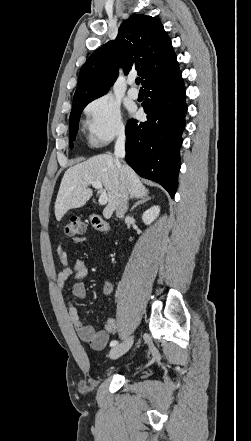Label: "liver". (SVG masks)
<instances>
[{"mask_svg":"<svg viewBox=\"0 0 251 441\" xmlns=\"http://www.w3.org/2000/svg\"><path fill=\"white\" fill-rule=\"evenodd\" d=\"M122 167L131 198L147 196L148 189L142 184L135 171L128 165H122ZM94 181H100L108 192V204L103 210V216L106 219L112 216L120 199V168L111 155L100 154L70 167L65 172L55 202L57 221H60L68 210L86 204L93 194L88 187Z\"/></svg>","mask_w":251,"mask_h":441,"instance_id":"6515ba94","label":"liver"}]
</instances>
